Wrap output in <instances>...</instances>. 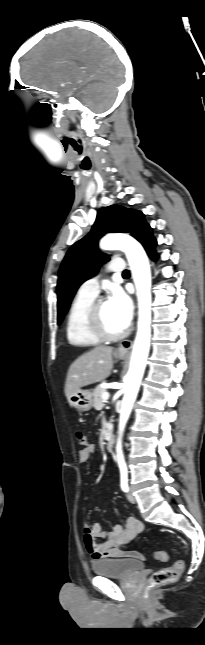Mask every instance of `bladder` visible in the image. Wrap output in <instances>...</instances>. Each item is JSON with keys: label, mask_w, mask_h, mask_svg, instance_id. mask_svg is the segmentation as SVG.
I'll return each instance as SVG.
<instances>
[{"label": "bladder", "mask_w": 205, "mask_h": 645, "mask_svg": "<svg viewBox=\"0 0 205 645\" xmlns=\"http://www.w3.org/2000/svg\"><path fill=\"white\" fill-rule=\"evenodd\" d=\"M144 567L145 564L142 560L129 557L102 559L92 564L95 574L117 578L130 577L143 570Z\"/></svg>", "instance_id": "obj_1"}]
</instances>
